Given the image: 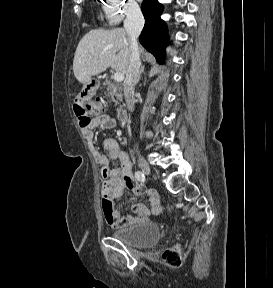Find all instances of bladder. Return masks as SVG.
Instances as JSON below:
<instances>
[{"instance_id": "bladder-1", "label": "bladder", "mask_w": 273, "mask_h": 288, "mask_svg": "<svg viewBox=\"0 0 273 288\" xmlns=\"http://www.w3.org/2000/svg\"><path fill=\"white\" fill-rule=\"evenodd\" d=\"M111 236L131 248L148 249L160 241L161 231L156 223L144 222L116 230Z\"/></svg>"}]
</instances>
